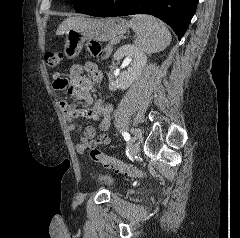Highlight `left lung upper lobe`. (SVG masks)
<instances>
[{"mask_svg":"<svg viewBox=\"0 0 240 238\" xmlns=\"http://www.w3.org/2000/svg\"><path fill=\"white\" fill-rule=\"evenodd\" d=\"M97 0H72L77 12H82L86 8L93 5Z\"/></svg>","mask_w":240,"mask_h":238,"instance_id":"1","label":"left lung upper lobe"}]
</instances>
